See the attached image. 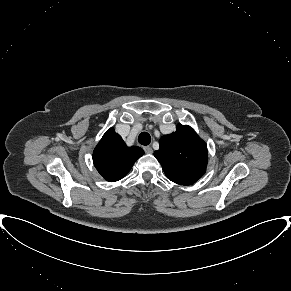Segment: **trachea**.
Segmentation results:
<instances>
[{
  "mask_svg": "<svg viewBox=\"0 0 291 291\" xmlns=\"http://www.w3.org/2000/svg\"><path fill=\"white\" fill-rule=\"evenodd\" d=\"M138 142L141 145H148L151 142V137L147 132H142L139 136H138Z\"/></svg>",
  "mask_w": 291,
  "mask_h": 291,
  "instance_id": "1",
  "label": "trachea"
}]
</instances>
